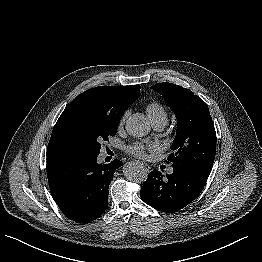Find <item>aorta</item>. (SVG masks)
<instances>
[{"instance_id": "762f6f07", "label": "aorta", "mask_w": 262, "mask_h": 262, "mask_svg": "<svg viewBox=\"0 0 262 262\" xmlns=\"http://www.w3.org/2000/svg\"><path fill=\"white\" fill-rule=\"evenodd\" d=\"M126 130L133 137H143L150 132V124L141 113L133 114L126 122ZM124 176L137 183L146 181L148 172L145 166L138 162H129L123 167Z\"/></svg>"}]
</instances>
